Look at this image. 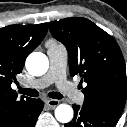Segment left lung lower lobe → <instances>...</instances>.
<instances>
[{
	"mask_svg": "<svg viewBox=\"0 0 127 127\" xmlns=\"http://www.w3.org/2000/svg\"><path fill=\"white\" fill-rule=\"evenodd\" d=\"M73 109L74 118L64 127H115L120 118V116L94 109L85 104L82 107L74 104Z\"/></svg>",
	"mask_w": 127,
	"mask_h": 127,
	"instance_id": "obj_1",
	"label": "left lung lower lobe"
}]
</instances>
